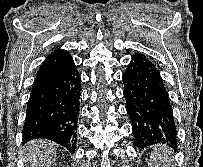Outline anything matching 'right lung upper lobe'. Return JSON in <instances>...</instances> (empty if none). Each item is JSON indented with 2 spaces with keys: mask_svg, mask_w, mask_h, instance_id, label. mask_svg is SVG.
I'll list each match as a JSON object with an SVG mask.
<instances>
[{
  "mask_svg": "<svg viewBox=\"0 0 203 167\" xmlns=\"http://www.w3.org/2000/svg\"><path fill=\"white\" fill-rule=\"evenodd\" d=\"M71 60L72 58L70 57L69 53L60 49L48 55L39 69V73L34 81V85H38L56 75Z\"/></svg>",
  "mask_w": 203,
  "mask_h": 167,
  "instance_id": "right-lung-upper-lobe-1",
  "label": "right lung upper lobe"
}]
</instances>
